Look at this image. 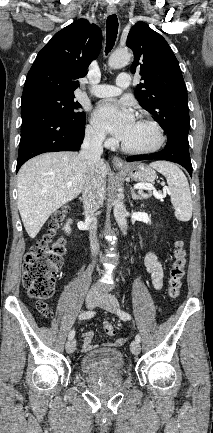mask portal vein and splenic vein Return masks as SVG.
Returning a JSON list of instances; mask_svg holds the SVG:
<instances>
[{"mask_svg":"<svg viewBox=\"0 0 213 433\" xmlns=\"http://www.w3.org/2000/svg\"><path fill=\"white\" fill-rule=\"evenodd\" d=\"M71 185H72L71 183H67V186H71ZM134 188L135 189H139V190H153V194H154V196L157 199L163 200V198H164V195L159 194L156 191V189H155V187L153 185H150V184H136V185H134ZM146 198H147V196H146Z\"/></svg>","mask_w":213,"mask_h":433,"instance_id":"18ae733b","label":"portal vein and splenic vein"}]
</instances>
